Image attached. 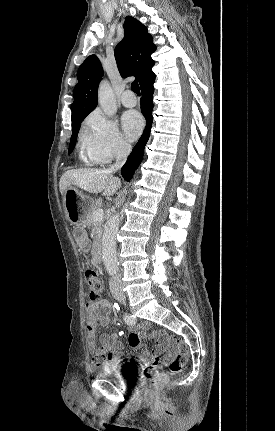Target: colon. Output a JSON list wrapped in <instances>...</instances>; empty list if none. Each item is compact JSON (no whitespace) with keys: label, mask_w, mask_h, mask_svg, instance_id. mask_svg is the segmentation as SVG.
<instances>
[{"label":"colon","mask_w":275,"mask_h":431,"mask_svg":"<svg viewBox=\"0 0 275 431\" xmlns=\"http://www.w3.org/2000/svg\"><path fill=\"white\" fill-rule=\"evenodd\" d=\"M85 280L88 286L89 298L92 301L97 300L104 290V282L101 276L95 270L89 269L85 271ZM149 336L177 347L178 354L169 362L168 366L171 372H179L187 361L189 355L188 345L179 339L167 337L159 331H153ZM128 343L132 348H138L141 345V334L137 332L130 333ZM144 373L151 380L147 388L149 393L161 390L168 382V375L159 370L158 363L156 362L149 363Z\"/></svg>","instance_id":"5ec220e1"}]
</instances>
